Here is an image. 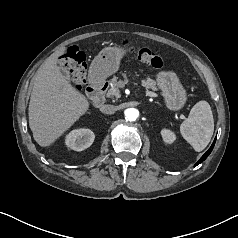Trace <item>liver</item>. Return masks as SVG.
<instances>
[{"label":"liver","instance_id":"liver-1","mask_svg":"<svg viewBox=\"0 0 238 238\" xmlns=\"http://www.w3.org/2000/svg\"><path fill=\"white\" fill-rule=\"evenodd\" d=\"M65 48L51 54L39 67L28 108L29 127L42 147L51 145L89 108L87 98L60 71L58 57Z\"/></svg>","mask_w":238,"mask_h":238}]
</instances>
